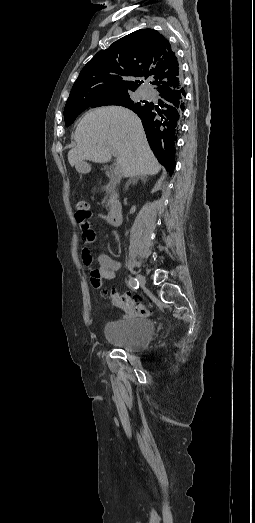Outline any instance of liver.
Masks as SVG:
<instances>
[{
    "instance_id": "6515ba94",
    "label": "liver",
    "mask_w": 255,
    "mask_h": 523,
    "mask_svg": "<svg viewBox=\"0 0 255 523\" xmlns=\"http://www.w3.org/2000/svg\"><path fill=\"white\" fill-rule=\"evenodd\" d=\"M72 140L76 146L68 152V160L80 174H87L83 172L84 160L106 164L113 152L124 178L154 176L161 170L140 118L127 108L107 106L91 110L80 120Z\"/></svg>"
}]
</instances>
